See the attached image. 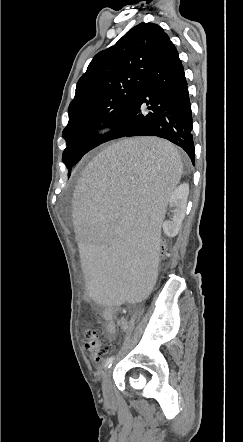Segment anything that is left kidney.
Instances as JSON below:
<instances>
[{
	"instance_id": "left-kidney-1",
	"label": "left kidney",
	"mask_w": 243,
	"mask_h": 442,
	"mask_svg": "<svg viewBox=\"0 0 243 442\" xmlns=\"http://www.w3.org/2000/svg\"><path fill=\"white\" fill-rule=\"evenodd\" d=\"M188 193V185L182 184L172 192L165 203V205L173 209L172 218L164 221L162 224L163 231L168 233L169 237H175L181 228L182 221L185 217Z\"/></svg>"
}]
</instances>
